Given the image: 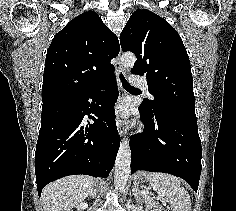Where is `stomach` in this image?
Returning a JSON list of instances; mask_svg holds the SVG:
<instances>
[{
	"label": "stomach",
	"instance_id": "obj_1",
	"mask_svg": "<svg viewBox=\"0 0 236 211\" xmlns=\"http://www.w3.org/2000/svg\"><path fill=\"white\" fill-rule=\"evenodd\" d=\"M142 176H145V173H139L137 176L138 181L142 180Z\"/></svg>",
	"mask_w": 236,
	"mask_h": 211
}]
</instances>
